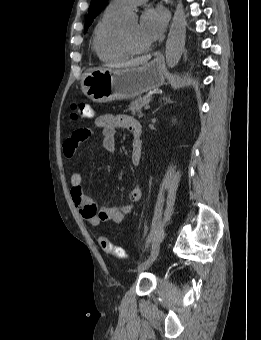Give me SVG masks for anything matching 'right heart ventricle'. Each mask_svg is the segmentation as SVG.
<instances>
[{"label":"right heart ventricle","instance_id":"1","mask_svg":"<svg viewBox=\"0 0 261 340\" xmlns=\"http://www.w3.org/2000/svg\"><path fill=\"white\" fill-rule=\"evenodd\" d=\"M122 16L123 12L108 6L95 27L92 48L102 62H116L130 56L120 42Z\"/></svg>","mask_w":261,"mask_h":340}]
</instances>
